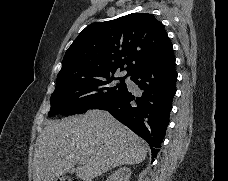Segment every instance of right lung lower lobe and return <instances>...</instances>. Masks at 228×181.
<instances>
[{"label":"right lung lower lobe","mask_w":228,"mask_h":181,"mask_svg":"<svg viewBox=\"0 0 228 181\" xmlns=\"http://www.w3.org/2000/svg\"><path fill=\"white\" fill-rule=\"evenodd\" d=\"M131 80L137 87H126L122 97L102 110L146 140L154 159L165 136L176 93L173 48L143 64L131 74Z\"/></svg>","instance_id":"obj_1"}]
</instances>
